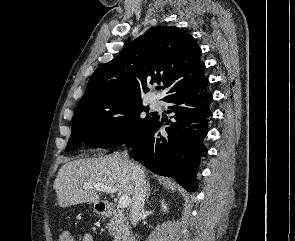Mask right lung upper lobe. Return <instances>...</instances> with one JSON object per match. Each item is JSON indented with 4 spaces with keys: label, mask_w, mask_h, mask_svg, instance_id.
Here are the masks:
<instances>
[{
    "label": "right lung upper lobe",
    "mask_w": 295,
    "mask_h": 241,
    "mask_svg": "<svg viewBox=\"0 0 295 241\" xmlns=\"http://www.w3.org/2000/svg\"><path fill=\"white\" fill-rule=\"evenodd\" d=\"M201 49L193 36L175 26H159L139 36L91 76L79 103L110 98L142 102L147 84L163 83L171 95L207 79Z\"/></svg>",
    "instance_id": "1"
}]
</instances>
